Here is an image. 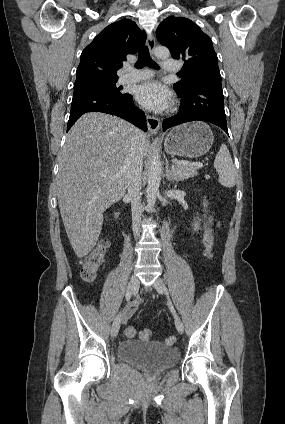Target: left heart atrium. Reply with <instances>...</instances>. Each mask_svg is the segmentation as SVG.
Wrapping results in <instances>:
<instances>
[{
	"mask_svg": "<svg viewBox=\"0 0 285 424\" xmlns=\"http://www.w3.org/2000/svg\"><path fill=\"white\" fill-rule=\"evenodd\" d=\"M138 102L146 109L163 111L171 103L169 90L158 81H148L141 84L136 90Z\"/></svg>",
	"mask_w": 285,
	"mask_h": 424,
	"instance_id": "obj_1",
	"label": "left heart atrium"
}]
</instances>
